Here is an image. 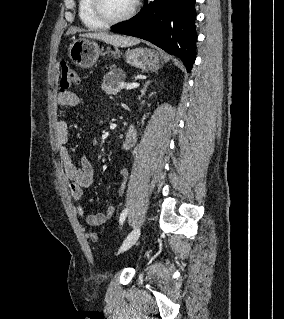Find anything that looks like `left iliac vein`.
<instances>
[{"label":"left iliac vein","instance_id":"1","mask_svg":"<svg viewBox=\"0 0 284 319\" xmlns=\"http://www.w3.org/2000/svg\"><path fill=\"white\" fill-rule=\"evenodd\" d=\"M139 236H140V228L137 227L128 234V236L123 241L119 251L123 252L131 248L137 242Z\"/></svg>","mask_w":284,"mask_h":319}]
</instances>
